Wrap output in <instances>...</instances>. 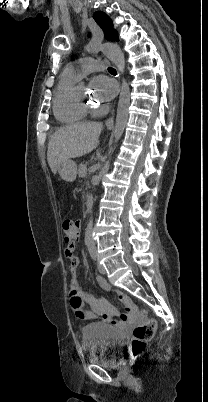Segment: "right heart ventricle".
I'll use <instances>...</instances> for the list:
<instances>
[{
	"instance_id": "e07e8e85",
	"label": "right heart ventricle",
	"mask_w": 208,
	"mask_h": 402,
	"mask_svg": "<svg viewBox=\"0 0 208 402\" xmlns=\"http://www.w3.org/2000/svg\"><path fill=\"white\" fill-rule=\"evenodd\" d=\"M77 81L78 79L63 72L53 99L54 116L65 126H82L88 121V112L76 100Z\"/></svg>"
}]
</instances>
